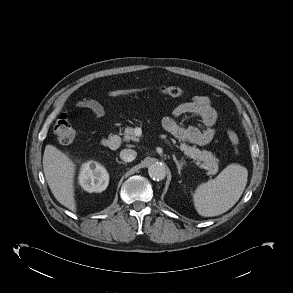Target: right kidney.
<instances>
[{
	"label": "right kidney",
	"mask_w": 293,
	"mask_h": 293,
	"mask_svg": "<svg viewBox=\"0 0 293 293\" xmlns=\"http://www.w3.org/2000/svg\"><path fill=\"white\" fill-rule=\"evenodd\" d=\"M79 184L87 192H102L109 183L107 170L96 161L85 162L79 174Z\"/></svg>",
	"instance_id": "1"
}]
</instances>
